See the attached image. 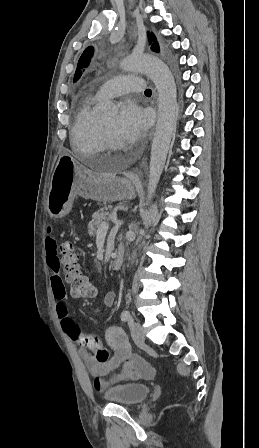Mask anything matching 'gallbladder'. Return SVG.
I'll list each match as a JSON object with an SVG mask.
<instances>
[{
  "mask_svg": "<svg viewBox=\"0 0 259 448\" xmlns=\"http://www.w3.org/2000/svg\"><path fill=\"white\" fill-rule=\"evenodd\" d=\"M97 168H99V170H105L104 164H100V166H97Z\"/></svg>",
  "mask_w": 259,
  "mask_h": 448,
  "instance_id": "bac80fb5",
  "label": "gallbladder"
}]
</instances>
